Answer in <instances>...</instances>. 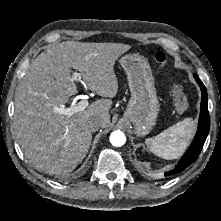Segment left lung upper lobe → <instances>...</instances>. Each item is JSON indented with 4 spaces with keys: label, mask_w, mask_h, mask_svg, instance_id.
<instances>
[{
    "label": "left lung upper lobe",
    "mask_w": 221,
    "mask_h": 221,
    "mask_svg": "<svg viewBox=\"0 0 221 221\" xmlns=\"http://www.w3.org/2000/svg\"><path fill=\"white\" fill-rule=\"evenodd\" d=\"M195 76H198V75H197V74H194V77H195Z\"/></svg>",
    "instance_id": "obj_1"
}]
</instances>
